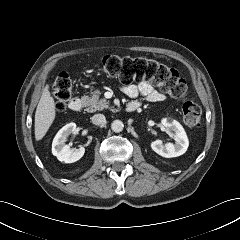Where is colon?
<instances>
[{"label":"colon","mask_w":240,"mask_h":240,"mask_svg":"<svg viewBox=\"0 0 240 240\" xmlns=\"http://www.w3.org/2000/svg\"><path fill=\"white\" fill-rule=\"evenodd\" d=\"M102 70L124 84L134 81L149 82L160 87L174 99L182 102L184 122L198 128L202 122L200 107L187 100L188 87L178 71L154 59L144 56L119 57L107 55L100 61ZM72 96V81L66 72L60 73L53 85L54 106L58 112L65 111Z\"/></svg>","instance_id":"5ec220e1"}]
</instances>
